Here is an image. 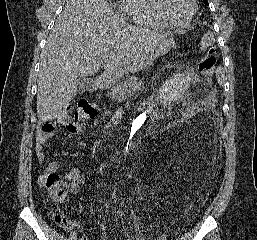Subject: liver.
<instances>
[{
	"label": "liver",
	"mask_w": 257,
	"mask_h": 240,
	"mask_svg": "<svg viewBox=\"0 0 257 240\" xmlns=\"http://www.w3.org/2000/svg\"><path fill=\"white\" fill-rule=\"evenodd\" d=\"M166 37L123 22L104 0H69L40 60L39 121L54 118L70 103L78 92V77L94 75L103 67L104 77L114 82L124 68Z\"/></svg>",
	"instance_id": "1"
}]
</instances>
